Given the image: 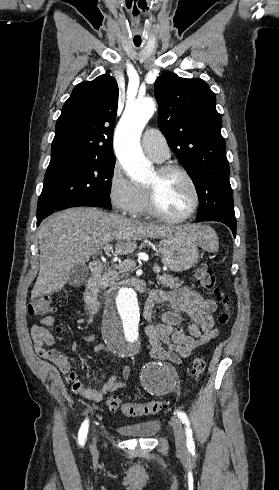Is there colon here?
<instances>
[{
  "instance_id": "5ec220e1",
  "label": "colon",
  "mask_w": 279,
  "mask_h": 490,
  "mask_svg": "<svg viewBox=\"0 0 279 490\" xmlns=\"http://www.w3.org/2000/svg\"><path fill=\"white\" fill-rule=\"evenodd\" d=\"M195 275L204 290L226 300V297L221 293L212 272L206 265H201L197 269ZM54 312L55 308L49 296L35 298L29 305V313L32 316L49 317ZM229 318L230 309L226 307V303H224V307H222L220 312L219 321L221 324H226L228 323ZM205 367L206 362L204 358H195L192 362V375L194 377L201 376ZM105 403L109 410L120 411L125 416L133 417L154 415L167 407V402L165 400L154 399L141 402H125L122 401L121 397L115 394L107 395Z\"/></svg>"
}]
</instances>
